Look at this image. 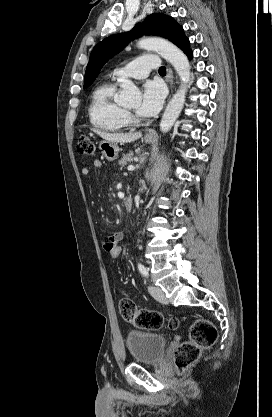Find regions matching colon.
Segmentation results:
<instances>
[{"mask_svg": "<svg viewBox=\"0 0 272 417\" xmlns=\"http://www.w3.org/2000/svg\"><path fill=\"white\" fill-rule=\"evenodd\" d=\"M78 153L84 156H93L96 147L86 135L79 137L77 142ZM112 259H118L122 253V241L115 240L107 245L105 250ZM121 317L132 323L135 327L146 330H158L163 326V317L160 313L149 309H138L132 298L124 294L119 302ZM178 320L171 318L168 327L175 329ZM216 327L206 319H199L191 328L189 339L183 342L175 352V363L180 371L188 369L200 357L203 350L211 347L217 340Z\"/></svg>", "mask_w": 272, "mask_h": 417, "instance_id": "colon-1", "label": "colon"}]
</instances>
